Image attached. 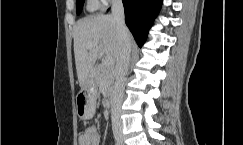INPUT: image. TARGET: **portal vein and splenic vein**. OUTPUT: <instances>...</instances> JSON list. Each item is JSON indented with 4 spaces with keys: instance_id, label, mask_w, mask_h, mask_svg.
<instances>
[{
    "instance_id": "obj_1",
    "label": "portal vein and splenic vein",
    "mask_w": 243,
    "mask_h": 145,
    "mask_svg": "<svg viewBox=\"0 0 243 145\" xmlns=\"http://www.w3.org/2000/svg\"><path fill=\"white\" fill-rule=\"evenodd\" d=\"M97 44H98V42H93V43H91L89 45V48H91V47H93V46H95ZM105 63L107 65H112L114 63V59H113V57L110 54H106V56H105Z\"/></svg>"
}]
</instances>
